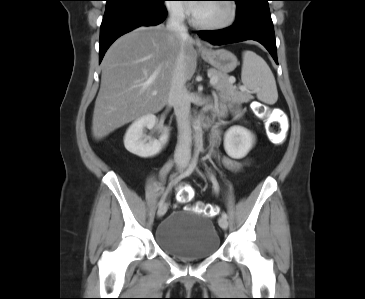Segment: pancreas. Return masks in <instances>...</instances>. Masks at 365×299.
Here are the masks:
<instances>
[{"instance_id": "pancreas-1", "label": "pancreas", "mask_w": 365, "mask_h": 299, "mask_svg": "<svg viewBox=\"0 0 365 299\" xmlns=\"http://www.w3.org/2000/svg\"><path fill=\"white\" fill-rule=\"evenodd\" d=\"M208 74L217 77L218 82L214 85V88L224 95L227 99L233 102H247L251 98L248 92L238 91L233 86V78H230L227 74L219 72L215 69H209Z\"/></svg>"}]
</instances>
